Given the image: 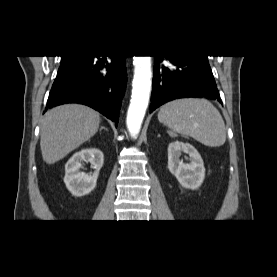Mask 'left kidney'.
Segmentation results:
<instances>
[{"mask_svg":"<svg viewBox=\"0 0 277 277\" xmlns=\"http://www.w3.org/2000/svg\"><path fill=\"white\" fill-rule=\"evenodd\" d=\"M189 155V163L180 160L181 154ZM168 169L182 187L198 189L205 178L203 160L198 151L189 143L171 142L168 146Z\"/></svg>","mask_w":277,"mask_h":277,"instance_id":"left-kidney-1","label":"left kidney"}]
</instances>
